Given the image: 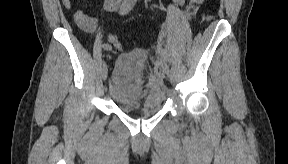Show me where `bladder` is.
Returning <instances> with one entry per match:
<instances>
[{
    "mask_svg": "<svg viewBox=\"0 0 288 164\" xmlns=\"http://www.w3.org/2000/svg\"><path fill=\"white\" fill-rule=\"evenodd\" d=\"M145 62L146 55L134 51L121 56L114 65L108 93L124 113L154 114L160 110L159 96L143 81Z\"/></svg>",
    "mask_w": 288,
    "mask_h": 164,
    "instance_id": "31cf9c89",
    "label": "bladder"
}]
</instances>
